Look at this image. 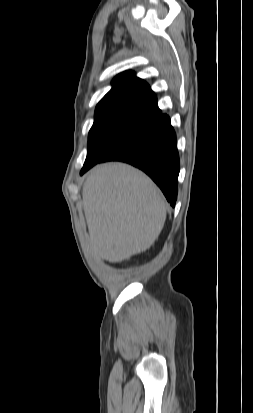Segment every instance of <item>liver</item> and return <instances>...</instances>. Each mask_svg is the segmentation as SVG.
Masks as SVG:
<instances>
[{"instance_id": "obj_1", "label": "liver", "mask_w": 253, "mask_h": 413, "mask_svg": "<svg viewBox=\"0 0 253 413\" xmlns=\"http://www.w3.org/2000/svg\"><path fill=\"white\" fill-rule=\"evenodd\" d=\"M82 197L90 250L96 259L116 263L144 252L164 227L167 204L161 191L128 164L94 167Z\"/></svg>"}]
</instances>
